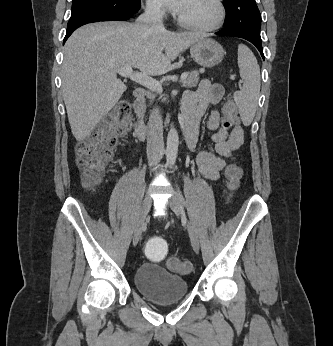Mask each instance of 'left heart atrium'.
<instances>
[{
  "label": "left heart atrium",
  "instance_id": "1",
  "mask_svg": "<svg viewBox=\"0 0 333 346\" xmlns=\"http://www.w3.org/2000/svg\"><path fill=\"white\" fill-rule=\"evenodd\" d=\"M189 0H162L164 5L171 11L180 14L186 7Z\"/></svg>",
  "mask_w": 333,
  "mask_h": 346
}]
</instances>
